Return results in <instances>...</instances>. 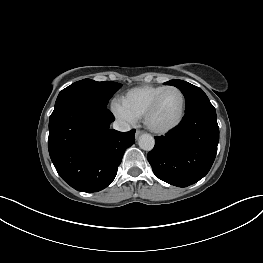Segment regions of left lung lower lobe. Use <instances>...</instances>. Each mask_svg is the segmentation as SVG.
Returning <instances> with one entry per match:
<instances>
[{
  "label": "left lung lower lobe",
  "instance_id": "1",
  "mask_svg": "<svg viewBox=\"0 0 263 263\" xmlns=\"http://www.w3.org/2000/svg\"><path fill=\"white\" fill-rule=\"evenodd\" d=\"M218 142L215 108L210 102L203 103L185 111L181 123L167 135L155 137L147 158L156 177L186 187L209 172Z\"/></svg>",
  "mask_w": 263,
  "mask_h": 263
}]
</instances>
